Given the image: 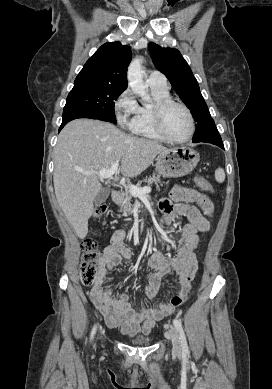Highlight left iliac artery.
I'll list each match as a JSON object with an SVG mask.
<instances>
[{"label":"left iliac artery","instance_id":"left-iliac-artery-1","mask_svg":"<svg viewBox=\"0 0 272 389\" xmlns=\"http://www.w3.org/2000/svg\"><path fill=\"white\" fill-rule=\"evenodd\" d=\"M173 324H174L175 328L177 329V331L180 334L181 346H182L183 352L184 353H188L189 352L188 344H187V340H186V337H185V334H184V331H183V328H182L181 321L178 320V319H174L173 320Z\"/></svg>","mask_w":272,"mask_h":389}]
</instances>
